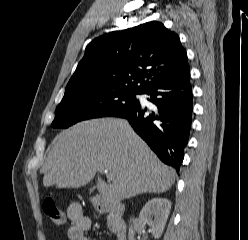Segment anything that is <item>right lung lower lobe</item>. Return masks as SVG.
I'll list each match as a JSON object with an SVG mask.
<instances>
[{"mask_svg":"<svg viewBox=\"0 0 248 240\" xmlns=\"http://www.w3.org/2000/svg\"><path fill=\"white\" fill-rule=\"evenodd\" d=\"M143 94L150 96L157 110L150 111L138 103L113 116L126 118L160 160L179 173L192 123L190 71L159 82Z\"/></svg>","mask_w":248,"mask_h":240,"instance_id":"right-lung-lower-lobe-1","label":"right lung lower lobe"}]
</instances>
